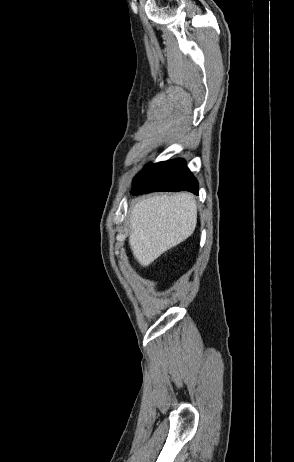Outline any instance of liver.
<instances>
[{
  "label": "liver",
  "mask_w": 294,
  "mask_h": 462,
  "mask_svg": "<svg viewBox=\"0 0 294 462\" xmlns=\"http://www.w3.org/2000/svg\"><path fill=\"white\" fill-rule=\"evenodd\" d=\"M196 223L197 205L190 193L139 201L130 214L129 244L134 257L141 266H148L191 236Z\"/></svg>",
  "instance_id": "1"
}]
</instances>
